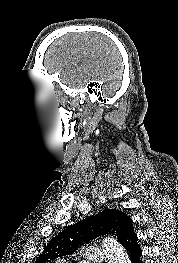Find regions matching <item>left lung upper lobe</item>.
Returning a JSON list of instances; mask_svg holds the SVG:
<instances>
[{
  "label": "left lung upper lobe",
  "mask_w": 178,
  "mask_h": 263,
  "mask_svg": "<svg viewBox=\"0 0 178 263\" xmlns=\"http://www.w3.org/2000/svg\"><path fill=\"white\" fill-rule=\"evenodd\" d=\"M130 217L116 209H105L100 215L67 227L49 241L35 263H47L58 257L74 253L84 242L104 234H112L119 240L122 229Z\"/></svg>",
  "instance_id": "1"
}]
</instances>
